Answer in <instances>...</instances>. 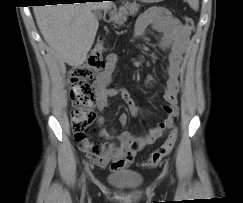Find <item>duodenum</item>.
Here are the masks:
<instances>
[{
  "label": "duodenum",
  "mask_w": 243,
  "mask_h": 203,
  "mask_svg": "<svg viewBox=\"0 0 243 203\" xmlns=\"http://www.w3.org/2000/svg\"><path fill=\"white\" fill-rule=\"evenodd\" d=\"M112 14H113V9L112 8H109V9L105 10L104 16H103V20L105 22H111Z\"/></svg>",
  "instance_id": "obj_1"
}]
</instances>
